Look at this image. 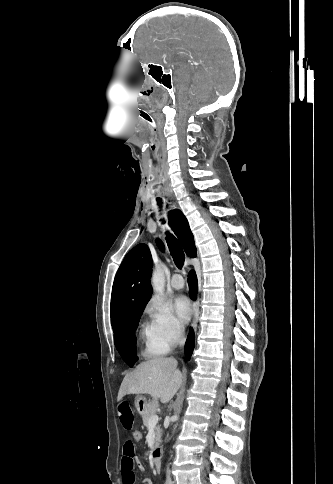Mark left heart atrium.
Segmentation results:
<instances>
[{
  "mask_svg": "<svg viewBox=\"0 0 333 484\" xmlns=\"http://www.w3.org/2000/svg\"><path fill=\"white\" fill-rule=\"evenodd\" d=\"M174 309L179 319L184 323L188 322L193 314L192 303L184 295L176 297L174 301Z\"/></svg>",
  "mask_w": 333,
  "mask_h": 484,
  "instance_id": "1",
  "label": "left heart atrium"
}]
</instances>
